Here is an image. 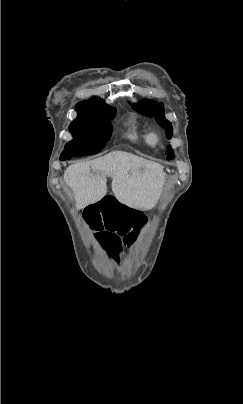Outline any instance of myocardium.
<instances>
[{
  "instance_id": "obj_1",
  "label": "myocardium",
  "mask_w": 243,
  "mask_h": 404,
  "mask_svg": "<svg viewBox=\"0 0 243 404\" xmlns=\"http://www.w3.org/2000/svg\"><path fill=\"white\" fill-rule=\"evenodd\" d=\"M154 137H155V139H158V136H157V134H155V133H154Z\"/></svg>"
}]
</instances>
